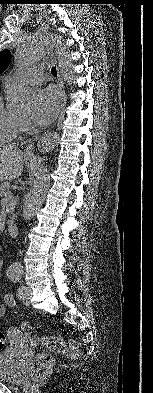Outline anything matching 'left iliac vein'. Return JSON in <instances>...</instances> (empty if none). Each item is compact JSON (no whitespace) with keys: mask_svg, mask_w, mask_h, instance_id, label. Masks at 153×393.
I'll return each instance as SVG.
<instances>
[{"mask_svg":"<svg viewBox=\"0 0 153 393\" xmlns=\"http://www.w3.org/2000/svg\"><path fill=\"white\" fill-rule=\"evenodd\" d=\"M29 296H30V288L27 286H24V289L22 291V295L20 296L22 298L23 304L24 305H29Z\"/></svg>","mask_w":153,"mask_h":393,"instance_id":"4c4485c4","label":"left iliac vein"}]
</instances>
